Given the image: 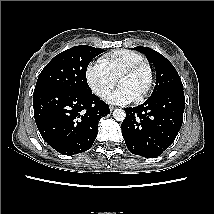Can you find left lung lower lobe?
Segmentation results:
<instances>
[{
  "instance_id": "1",
  "label": "left lung lower lobe",
  "mask_w": 214,
  "mask_h": 214,
  "mask_svg": "<svg viewBox=\"0 0 214 214\" xmlns=\"http://www.w3.org/2000/svg\"><path fill=\"white\" fill-rule=\"evenodd\" d=\"M185 108L183 90H170L125 108L122 135L128 150L146 158L162 154L175 140Z\"/></svg>"
}]
</instances>
